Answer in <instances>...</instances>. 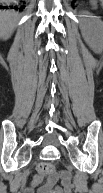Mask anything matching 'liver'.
Here are the masks:
<instances>
[{
  "label": "liver",
  "mask_w": 103,
  "mask_h": 193,
  "mask_svg": "<svg viewBox=\"0 0 103 193\" xmlns=\"http://www.w3.org/2000/svg\"><path fill=\"white\" fill-rule=\"evenodd\" d=\"M18 16L13 11H4L1 13V36L3 39H8L12 34Z\"/></svg>",
  "instance_id": "1"
}]
</instances>
